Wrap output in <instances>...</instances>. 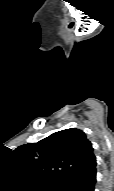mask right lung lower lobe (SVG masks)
Wrapping results in <instances>:
<instances>
[{
    "label": "right lung lower lobe",
    "instance_id": "98d812e1",
    "mask_svg": "<svg viewBox=\"0 0 114 191\" xmlns=\"http://www.w3.org/2000/svg\"><path fill=\"white\" fill-rule=\"evenodd\" d=\"M96 169L86 175L78 176L57 188L55 191H94Z\"/></svg>",
    "mask_w": 114,
    "mask_h": 191
}]
</instances>
